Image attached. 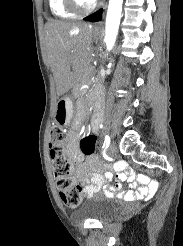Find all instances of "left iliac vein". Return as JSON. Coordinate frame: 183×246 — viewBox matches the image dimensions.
<instances>
[{
  "mask_svg": "<svg viewBox=\"0 0 183 246\" xmlns=\"http://www.w3.org/2000/svg\"><path fill=\"white\" fill-rule=\"evenodd\" d=\"M118 153V148L115 142H112L108 148L109 156H115Z\"/></svg>",
  "mask_w": 183,
  "mask_h": 246,
  "instance_id": "4c4485c4",
  "label": "left iliac vein"
}]
</instances>
